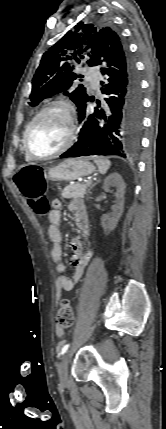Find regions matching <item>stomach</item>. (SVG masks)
I'll use <instances>...</instances> for the list:
<instances>
[{"label":"stomach","instance_id":"1","mask_svg":"<svg viewBox=\"0 0 166 429\" xmlns=\"http://www.w3.org/2000/svg\"><path fill=\"white\" fill-rule=\"evenodd\" d=\"M95 171V166L85 159H67L55 167L49 168L46 179L49 181H74L88 176Z\"/></svg>","mask_w":166,"mask_h":429}]
</instances>
